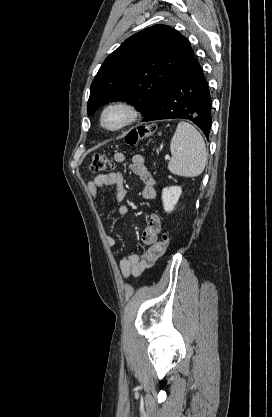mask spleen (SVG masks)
Instances as JSON below:
<instances>
[{
    "label": "spleen",
    "mask_w": 272,
    "mask_h": 417,
    "mask_svg": "<svg viewBox=\"0 0 272 417\" xmlns=\"http://www.w3.org/2000/svg\"><path fill=\"white\" fill-rule=\"evenodd\" d=\"M171 173L184 177L200 175L207 163V151L201 134L191 124L181 121L171 139Z\"/></svg>",
    "instance_id": "3e777b00"
}]
</instances>
